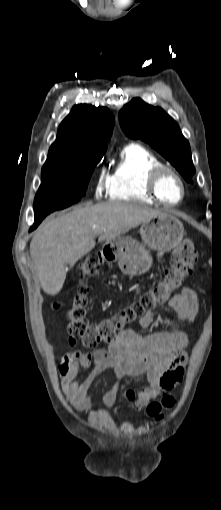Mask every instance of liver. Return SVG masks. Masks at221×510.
I'll return each mask as SVG.
<instances>
[{
	"label": "liver",
	"instance_id": "1",
	"mask_svg": "<svg viewBox=\"0 0 221 510\" xmlns=\"http://www.w3.org/2000/svg\"><path fill=\"white\" fill-rule=\"evenodd\" d=\"M161 212L135 203L110 201L78 207L45 221L30 242L32 267L43 291L56 295L63 287L66 266H73L99 242L119 237Z\"/></svg>",
	"mask_w": 221,
	"mask_h": 510
}]
</instances>
